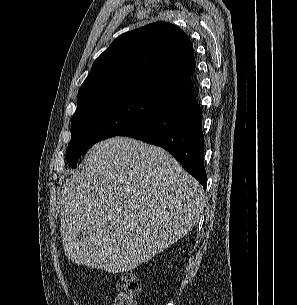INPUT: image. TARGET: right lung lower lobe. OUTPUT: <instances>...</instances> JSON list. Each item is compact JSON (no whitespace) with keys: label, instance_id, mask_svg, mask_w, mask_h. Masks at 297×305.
Listing matches in <instances>:
<instances>
[{"label":"right lung lower lobe","instance_id":"obj_1","mask_svg":"<svg viewBox=\"0 0 297 305\" xmlns=\"http://www.w3.org/2000/svg\"><path fill=\"white\" fill-rule=\"evenodd\" d=\"M119 136L166 149L206 188L202 114L194 93L172 102L146 122Z\"/></svg>","mask_w":297,"mask_h":305}]
</instances>
